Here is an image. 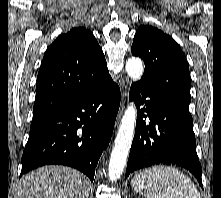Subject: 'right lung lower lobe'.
Masks as SVG:
<instances>
[{
	"label": "right lung lower lobe",
	"instance_id": "obj_1",
	"mask_svg": "<svg viewBox=\"0 0 221 198\" xmlns=\"http://www.w3.org/2000/svg\"><path fill=\"white\" fill-rule=\"evenodd\" d=\"M120 105V89L108 79L62 106L33 118L20 177L43 165L76 168L94 179Z\"/></svg>",
	"mask_w": 221,
	"mask_h": 198
}]
</instances>
